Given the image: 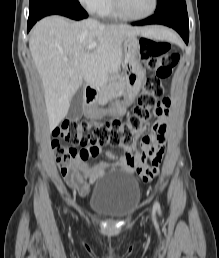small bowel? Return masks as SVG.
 <instances>
[{"instance_id": "small-bowel-1", "label": "small bowel", "mask_w": 219, "mask_h": 258, "mask_svg": "<svg viewBox=\"0 0 219 258\" xmlns=\"http://www.w3.org/2000/svg\"><path fill=\"white\" fill-rule=\"evenodd\" d=\"M171 107L170 98L157 103L155 108V122L152 125V134L142 138V147L139 150L136 144L123 145L120 152L97 149V154H105L109 160H101L90 164L86 160L90 157L91 148L81 150L82 155L69 167L71 171L67 178L68 186L80 196L89 191L90 186L106 173L116 170L128 173H140L144 183H155L160 174L161 158L165 146L167 119ZM156 161V162H154Z\"/></svg>"}]
</instances>
